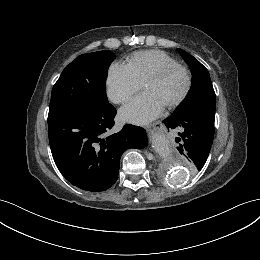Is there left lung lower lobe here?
<instances>
[{
    "label": "left lung lower lobe",
    "mask_w": 260,
    "mask_h": 260,
    "mask_svg": "<svg viewBox=\"0 0 260 260\" xmlns=\"http://www.w3.org/2000/svg\"><path fill=\"white\" fill-rule=\"evenodd\" d=\"M214 121L215 116L198 112L172 114L163 121L168 129L179 132L177 149L194 170L200 171L208 158L215 133Z\"/></svg>",
    "instance_id": "1"
}]
</instances>
